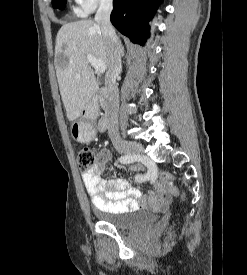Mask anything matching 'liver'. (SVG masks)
<instances>
[{
    "instance_id": "6515ba94",
    "label": "liver",
    "mask_w": 247,
    "mask_h": 275,
    "mask_svg": "<svg viewBox=\"0 0 247 275\" xmlns=\"http://www.w3.org/2000/svg\"><path fill=\"white\" fill-rule=\"evenodd\" d=\"M91 54L109 68L110 54L101 28L92 20L64 24L57 33L55 68L67 119L74 121L98 91V83L89 65Z\"/></svg>"
}]
</instances>
